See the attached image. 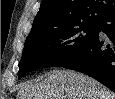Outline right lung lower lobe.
Returning a JSON list of instances; mask_svg holds the SVG:
<instances>
[{
  "instance_id": "1",
  "label": "right lung lower lobe",
  "mask_w": 115,
  "mask_h": 99,
  "mask_svg": "<svg viewBox=\"0 0 115 99\" xmlns=\"http://www.w3.org/2000/svg\"><path fill=\"white\" fill-rule=\"evenodd\" d=\"M103 32L108 39L99 37ZM98 33L67 69L85 73L115 92V12L99 23Z\"/></svg>"
}]
</instances>
